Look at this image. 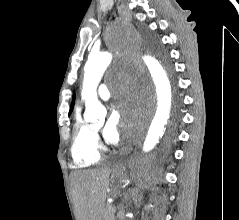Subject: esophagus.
<instances>
[{"label": "esophagus", "instance_id": "obj_1", "mask_svg": "<svg viewBox=\"0 0 239 220\" xmlns=\"http://www.w3.org/2000/svg\"><path fill=\"white\" fill-rule=\"evenodd\" d=\"M123 168V162H118L116 165H115V167H114V170L115 171H119V170H121Z\"/></svg>", "mask_w": 239, "mask_h": 220}]
</instances>
